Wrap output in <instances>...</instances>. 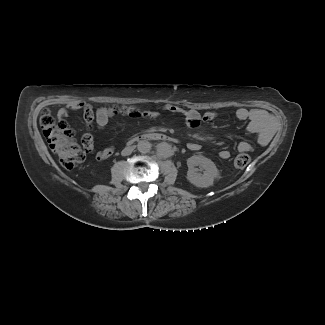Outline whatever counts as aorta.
<instances>
[{
  "label": "aorta",
  "mask_w": 325,
  "mask_h": 325,
  "mask_svg": "<svg viewBox=\"0 0 325 325\" xmlns=\"http://www.w3.org/2000/svg\"><path fill=\"white\" fill-rule=\"evenodd\" d=\"M151 147V143L146 140L139 141L137 145L138 151L143 154L150 152Z\"/></svg>",
  "instance_id": "1"
}]
</instances>
